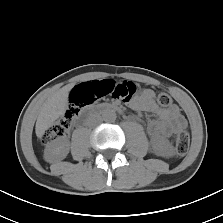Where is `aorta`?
<instances>
[{
  "label": "aorta",
  "instance_id": "aorta-1",
  "mask_svg": "<svg viewBox=\"0 0 223 223\" xmlns=\"http://www.w3.org/2000/svg\"><path fill=\"white\" fill-rule=\"evenodd\" d=\"M116 118H117L116 113L113 110H104V112L102 113V119L105 122L112 123L116 120Z\"/></svg>",
  "mask_w": 223,
  "mask_h": 223
}]
</instances>
